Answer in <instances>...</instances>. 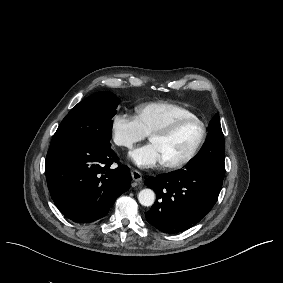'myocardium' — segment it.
<instances>
[{
    "instance_id": "obj_1",
    "label": "myocardium",
    "mask_w": 283,
    "mask_h": 283,
    "mask_svg": "<svg viewBox=\"0 0 283 283\" xmlns=\"http://www.w3.org/2000/svg\"><path fill=\"white\" fill-rule=\"evenodd\" d=\"M189 121H194L200 124L201 126V134L200 137L196 143V145L194 146V148L192 149V151L181 161L179 162H174V163H165V166L168 169H172V170H177V169H181L184 168L185 166H187L188 164H190L196 157L197 155L200 153L201 149L203 148L206 139H207V135H208V129H207V125L206 123L198 116L196 115H184L181 116L177 119H175L171 124H169L166 128H164L163 130H160L158 132H155L151 135V138L154 137H158V138H170L178 129V127L185 123V122H189Z\"/></svg>"
}]
</instances>
